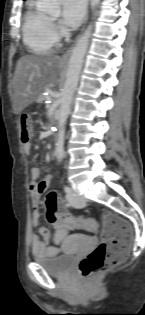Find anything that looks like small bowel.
I'll use <instances>...</instances> for the list:
<instances>
[{
    "instance_id": "c3829d8e",
    "label": "small bowel",
    "mask_w": 145,
    "mask_h": 315,
    "mask_svg": "<svg viewBox=\"0 0 145 315\" xmlns=\"http://www.w3.org/2000/svg\"><path fill=\"white\" fill-rule=\"evenodd\" d=\"M24 151L29 154L31 152V143H24ZM41 168L34 166L30 170L31 182L29 184V193L31 196L32 205L34 208L32 214V225L38 227L40 224L39 203L41 195L47 190L51 177L48 175L41 181H38L41 176ZM55 234H52L49 229L40 227L38 233L31 237V249L33 255L37 257H55L59 254L60 247L58 246L67 233L74 230V227L67 223L64 219H58L54 223ZM54 242L55 245H49Z\"/></svg>"
}]
</instances>
